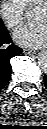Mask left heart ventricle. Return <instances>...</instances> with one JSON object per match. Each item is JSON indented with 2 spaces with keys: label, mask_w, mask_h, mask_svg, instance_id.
I'll list each match as a JSON object with an SVG mask.
<instances>
[{
  "label": "left heart ventricle",
  "mask_w": 47,
  "mask_h": 129,
  "mask_svg": "<svg viewBox=\"0 0 47 129\" xmlns=\"http://www.w3.org/2000/svg\"><path fill=\"white\" fill-rule=\"evenodd\" d=\"M46 17H47V14L44 8H39L35 11L33 19L35 21L45 22Z\"/></svg>",
  "instance_id": "1"
}]
</instances>
